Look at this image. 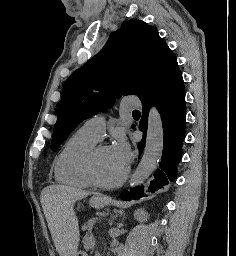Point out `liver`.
<instances>
[{
    "label": "liver",
    "instance_id": "1",
    "mask_svg": "<svg viewBox=\"0 0 236 256\" xmlns=\"http://www.w3.org/2000/svg\"><path fill=\"white\" fill-rule=\"evenodd\" d=\"M88 194L68 186H47L41 192L43 212L60 256H76L80 234L73 208L76 200H82Z\"/></svg>",
    "mask_w": 236,
    "mask_h": 256
}]
</instances>
